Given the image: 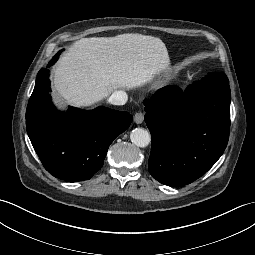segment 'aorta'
Instances as JSON below:
<instances>
[{
	"label": "aorta",
	"instance_id": "obj_1",
	"mask_svg": "<svg viewBox=\"0 0 255 255\" xmlns=\"http://www.w3.org/2000/svg\"><path fill=\"white\" fill-rule=\"evenodd\" d=\"M130 139L137 147L144 148L149 145L151 136L147 130L143 128H135L131 131Z\"/></svg>",
	"mask_w": 255,
	"mask_h": 255
}]
</instances>
